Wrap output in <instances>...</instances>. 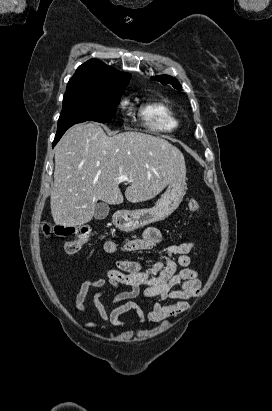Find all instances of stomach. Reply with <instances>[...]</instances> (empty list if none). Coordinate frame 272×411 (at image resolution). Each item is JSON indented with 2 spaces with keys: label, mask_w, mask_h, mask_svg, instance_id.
<instances>
[{
  "label": "stomach",
  "mask_w": 272,
  "mask_h": 411,
  "mask_svg": "<svg viewBox=\"0 0 272 411\" xmlns=\"http://www.w3.org/2000/svg\"><path fill=\"white\" fill-rule=\"evenodd\" d=\"M185 182L173 181L152 208L123 210L113 215V224L124 232H131L170 216L180 205L185 195Z\"/></svg>",
  "instance_id": "0dacf381"
}]
</instances>
